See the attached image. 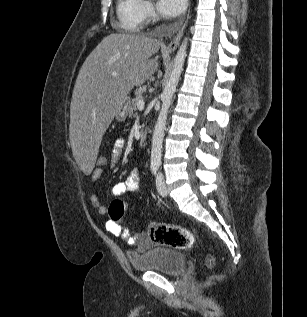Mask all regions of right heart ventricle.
<instances>
[{"instance_id":"e07e8e85","label":"right heart ventricle","mask_w":307,"mask_h":317,"mask_svg":"<svg viewBox=\"0 0 307 317\" xmlns=\"http://www.w3.org/2000/svg\"><path fill=\"white\" fill-rule=\"evenodd\" d=\"M143 0H118L117 17L123 30L138 32L143 26Z\"/></svg>"}]
</instances>
